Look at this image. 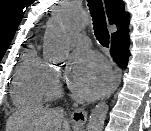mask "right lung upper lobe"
I'll list each match as a JSON object with an SVG mask.
<instances>
[{"label": "right lung upper lobe", "instance_id": "right-lung-upper-lobe-1", "mask_svg": "<svg viewBox=\"0 0 151 131\" xmlns=\"http://www.w3.org/2000/svg\"><path fill=\"white\" fill-rule=\"evenodd\" d=\"M109 23L116 24L118 30L111 34V43L129 39V14L124 10L122 0H104Z\"/></svg>", "mask_w": 151, "mask_h": 131}]
</instances>
